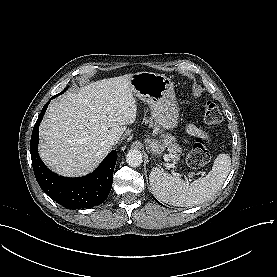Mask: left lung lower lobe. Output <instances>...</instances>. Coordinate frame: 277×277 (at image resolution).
Here are the masks:
<instances>
[{
  "label": "left lung lower lobe",
  "mask_w": 277,
  "mask_h": 277,
  "mask_svg": "<svg viewBox=\"0 0 277 277\" xmlns=\"http://www.w3.org/2000/svg\"><path fill=\"white\" fill-rule=\"evenodd\" d=\"M155 201L157 202V203H159L160 205H162L160 202H158L156 199H155Z\"/></svg>",
  "instance_id": "0a47b994"
}]
</instances>
